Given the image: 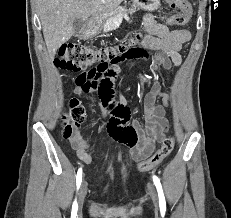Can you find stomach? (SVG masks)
Returning <instances> with one entry per match:
<instances>
[{
	"label": "stomach",
	"mask_w": 231,
	"mask_h": 218,
	"mask_svg": "<svg viewBox=\"0 0 231 218\" xmlns=\"http://www.w3.org/2000/svg\"><path fill=\"white\" fill-rule=\"evenodd\" d=\"M160 6V0H132V7L131 9L127 10L124 7H118L114 13H133L136 9H144L146 11H154L157 10ZM99 29V25L95 26L94 28L91 29V33H94L96 31H98Z\"/></svg>",
	"instance_id": "obj_1"
}]
</instances>
